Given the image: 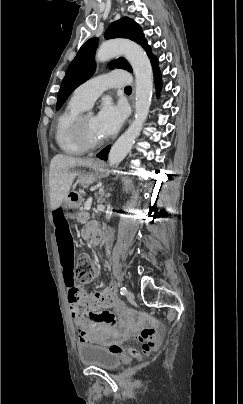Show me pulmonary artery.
Here are the masks:
<instances>
[{"mask_svg":"<svg viewBox=\"0 0 243 404\" xmlns=\"http://www.w3.org/2000/svg\"><path fill=\"white\" fill-rule=\"evenodd\" d=\"M123 82L111 73H104L90 78L78 87L79 97L87 108L108 88L121 87Z\"/></svg>","mask_w":243,"mask_h":404,"instance_id":"1","label":"pulmonary artery"}]
</instances>
